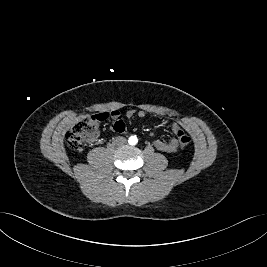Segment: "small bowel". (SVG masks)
<instances>
[{
    "label": "small bowel",
    "instance_id": "small-bowel-1",
    "mask_svg": "<svg viewBox=\"0 0 267 267\" xmlns=\"http://www.w3.org/2000/svg\"><path fill=\"white\" fill-rule=\"evenodd\" d=\"M134 114L135 112L133 110H128L125 113L127 117H132L134 116ZM105 115H109L111 117L113 121L112 123L113 131L118 132V133L125 132L126 125H125L124 118L121 112L112 111L109 114H105ZM136 115L140 118H143L145 117L146 112L144 110H140L136 113ZM171 128L174 132L178 130H182V128L178 124H175V123L171 125ZM154 146L159 151L166 152V153H173L178 149L179 141L176 138H171L169 140H156L154 141Z\"/></svg>",
    "mask_w": 267,
    "mask_h": 267
}]
</instances>
